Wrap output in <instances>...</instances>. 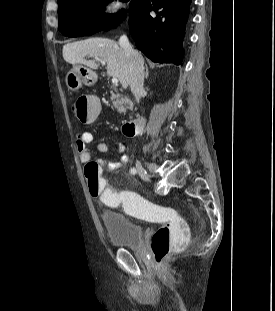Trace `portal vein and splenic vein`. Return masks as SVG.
<instances>
[{
	"mask_svg": "<svg viewBox=\"0 0 275 311\" xmlns=\"http://www.w3.org/2000/svg\"><path fill=\"white\" fill-rule=\"evenodd\" d=\"M96 61H99V62H101V63H105L102 59H100V58H96ZM94 62V61H93ZM112 83L114 84V85H117L118 84V78L117 77H112Z\"/></svg>",
	"mask_w": 275,
	"mask_h": 311,
	"instance_id": "1",
	"label": "portal vein and splenic vein"
}]
</instances>
